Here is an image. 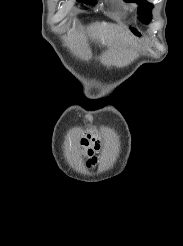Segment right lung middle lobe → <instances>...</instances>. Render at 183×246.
<instances>
[{
    "mask_svg": "<svg viewBox=\"0 0 183 246\" xmlns=\"http://www.w3.org/2000/svg\"><path fill=\"white\" fill-rule=\"evenodd\" d=\"M79 2H84L86 4H93L95 2V0H77Z\"/></svg>",
    "mask_w": 183,
    "mask_h": 246,
    "instance_id": "1",
    "label": "right lung middle lobe"
}]
</instances>
